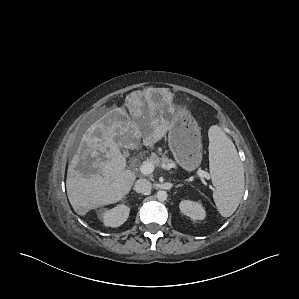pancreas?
<instances>
[{"label":"pancreas","instance_id":"1","mask_svg":"<svg viewBox=\"0 0 299 299\" xmlns=\"http://www.w3.org/2000/svg\"><path fill=\"white\" fill-rule=\"evenodd\" d=\"M146 161L147 163H151L154 167H158L160 165H166L168 168L176 167L174 161L169 159L165 154H162V156L159 157L157 154L152 153Z\"/></svg>","mask_w":299,"mask_h":299}]
</instances>
